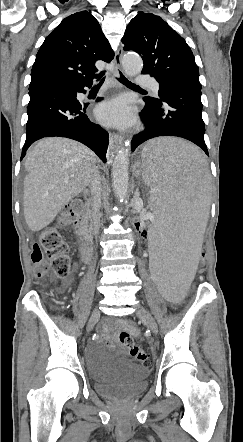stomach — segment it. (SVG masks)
<instances>
[{"label":"stomach","instance_id":"stomach-1","mask_svg":"<svg viewBox=\"0 0 243 442\" xmlns=\"http://www.w3.org/2000/svg\"><path fill=\"white\" fill-rule=\"evenodd\" d=\"M159 139H160V138H159ZM140 164H141V162L135 164V167H134V173H135V171H136V167H137V165H140Z\"/></svg>","mask_w":243,"mask_h":442}]
</instances>
